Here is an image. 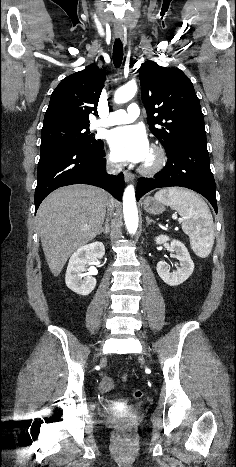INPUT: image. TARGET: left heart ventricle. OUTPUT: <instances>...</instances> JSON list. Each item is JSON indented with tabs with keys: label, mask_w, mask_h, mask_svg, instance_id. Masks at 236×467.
<instances>
[{
	"label": "left heart ventricle",
	"mask_w": 236,
	"mask_h": 467,
	"mask_svg": "<svg viewBox=\"0 0 236 467\" xmlns=\"http://www.w3.org/2000/svg\"><path fill=\"white\" fill-rule=\"evenodd\" d=\"M150 157H151V156H150V154H149V156H148V158L146 159V161H147V160H149V159H150Z\"/></svg>",
	"instance_id": "b2bd125f"
}]
</instances>
